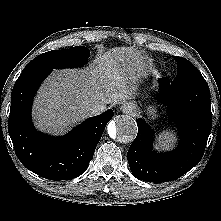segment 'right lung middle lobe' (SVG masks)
<instances>
[{"mask_svg": "<svg viewBox=\"0 0 221 221\" xmlns=\"http://www.w3.org/2000/svg\"><path fill=\"white\" fill-rule=\"evenodd\" d=\"M89 56V49L84 46L52 50L34 58L26 65L24 70L30 68L62 69L80 67L86 63Z\"/></svg>", "mask_w": 221, "mask_h": 221, "instance_id": "dd1d6c3e", "label": "right lung middle lobe"}]
</instances>
